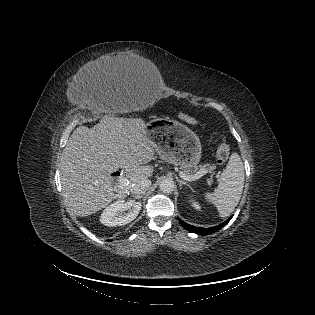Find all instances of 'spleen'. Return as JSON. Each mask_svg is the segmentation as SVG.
I'll list each match as a JSON object with an SVG mask.
<instances>
[{"label": "spleen", "mask_w": 315, "mask_h": 315, "mask_svg": "<svg viewBox=\"0 0 315 315\" xmlns=\"http://www.w3.org/2000/svg\"><path fill=\"white\" fill-rule=\"evenodd\" d=\"M244 187V166L240 156L233 153L222 172L218 187L204 193L206 201L217 207L220 217L229 216L238 205Z\"/></svg>", "instance_id": "3e777b00"}]
</instances>
